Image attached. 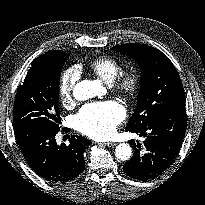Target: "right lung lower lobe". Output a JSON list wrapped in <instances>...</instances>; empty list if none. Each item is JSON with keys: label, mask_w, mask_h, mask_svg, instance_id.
<instances>
[{"label": "right lung lower lobe", "mask_w": 205, "mask_h": 205, "mask_svg": "<svg viewBox=\"0 0 205 205\" xmlns=\"http://www.w3.org/2000/svg\"><path fill=\"white\" fill-rule=\"evenodd\" d=\"M59 130L41 126L14 128L18 145L29 166L40 177L53 183L68 182L83 172V152L91 144L86 138L72 136L68 146L58 145L55 135Z\"/></svg>", "instance_id": "1"}]
</instances>
